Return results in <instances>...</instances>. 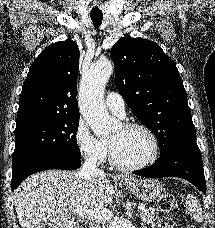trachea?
Masks as SVG:
<instances>
[{
    "instance_id": "trachea-1",
    "label": "trachea",
    "mask_w": 215,
    "mask_h": 228,
    "mask_svg": "<svg viewBox=\"0 0 215 228\" xmlns=\"http://www.w3.org/2000/svg\"><path fill=\"white\" fill-rule=\"evenodd\" d=\"M90 17H91V20L93 21L94 26L98 28L102 23L103 14L101 13L91 14Z\"/></svg>"
}]
</instances>
